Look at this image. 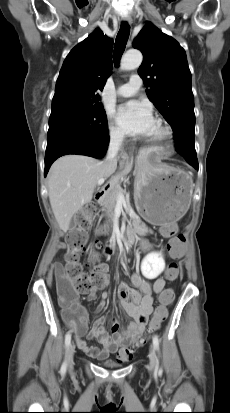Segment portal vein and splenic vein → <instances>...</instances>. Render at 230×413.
Segmentation results:
<instances>
[{"instance_id": "portal-vein-and-splenic-vein-1", "label": "portal vein and splenic vein", "mask_w": 230, "mask_h": 413, "mask_svg": "<svg viewBox=\"0 0 230 413\" xmlns=\"http://www.w3.org/2000/svg\"><path fill=\"white\" fill-rule=\"evenodd\" d=\"M104 181H105V179L101 178V179L98 180L97 184L102 185L104 183ZM117 204L126 205V199H125L124 195L121 194V193L117 197Z\"/></svg>"}]
</instances>
